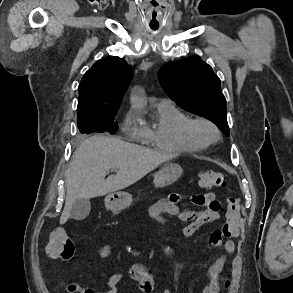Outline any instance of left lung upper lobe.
I'll return each instance as SVG.
<instances>
[{
  "instance_id": "obj_1",
  "label": "left lung upper lobe",
  "mask_w": 293,
  "mask_h": 293,
  "mask_svg": "<svg viewBox=\"0 0 293 293\" xmlns=\"http://www.w3.org/2000/svg\"><path fill=\"white\" fill-rule=\"evenodd\" d=\"M165 92L184 110L214 122L229 136L220 79L199 56L169 61L158 72Z\"/></svg>"
}]
</instances>
